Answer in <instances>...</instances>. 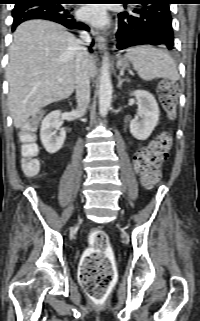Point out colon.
<instances>
[{
	"label": "colon",
	"mask_w": 200,
	"mask_h": 321,
	"mask_svg": "<svg viewBox=\"0 0 200 321\" xmlns=\"http://www.w3.org/2000/svg\"><path fill=\"white\" fill-rule=\"evenodd\" d=\"M179 84L176 81H163L158 87L160 102L170 118H174L177 108ZM35 122H28L20 132L23 154L22 170L27 176L38 173L40 163L36 158L39 146L35 136ZM171 137L163 132L148 146L140 149L134 156V167L146 188L153 187L160 176V166L168 157ZM89 247L82 258L79 279L82 287L95 301H102L113 280V262L110 241L101 229H92L88 234Z\"/></svg>",
	"instance_id": "colon-1"
}]
</instances>
